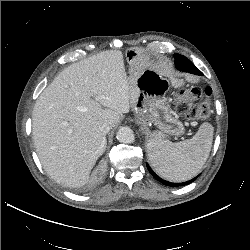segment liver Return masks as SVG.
I'll list each match as a JSON object with an SVG mask.
<instances>
[{"label":"liver","instance_id":"1","mask_svg":"<svg viewBox=\"0 0 250 250\" xmlns=\"http://www.w3.org/2000/svg\"><path fill=\"white\" fill-rule=\"evenodd\" d=\"M129 110L121 51H103L65 68L33 109V139L44 170L64 186L85 185L107 145L99 125L113 128Z\"/></svg>","mask_w":250,"mask_h":250}]
</instances>
